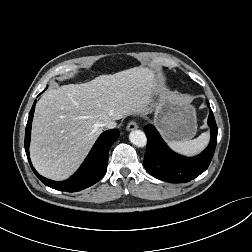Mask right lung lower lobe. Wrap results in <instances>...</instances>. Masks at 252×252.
Masks as SVG:
<instances>
[{
	"label": "right lung lower lobe",
	"mask_w": 252,
	"mask_h": 252,
	"mask_svg": "<svg viewBox=\"0 0 252 252\" xmlns=\"http://www.w3.org/2000/svg\"><path fill=\"white\" fill-rule=\"evenodd\" d=\"M36 101L34 102L32 109L29 113V118L25 131V151L27 154L30 166L35 173V175L47 186L67 192H78L93 184L97 183L107 170L108 163V153L112 144L118 139L119 131L118 129H112L105 131L97 139L96 143L92 147L87 158L80 166V168L72 175L69 179L65 181H52L39 175L31 164L29 158V144L31 137V123L33 119V113L35 110Z\"/></svg>",
	"instance_id": "98d812e1"
}]
</instances>
